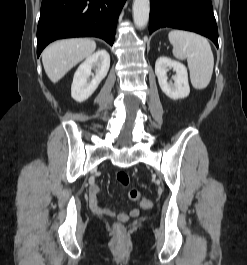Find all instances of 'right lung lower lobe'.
<instances>
[{
    "mask_svg": "<svg viewBox=\"0 0 247 265\" xmlns=\"http://www.w3.org/2000/svg\"><path fill=\"white\" fill-rule=\"evenodd\" d=\"M126 0H42L37 27V56L52 41L99 37L113 45Z\"/></svg>",
    "mask_w": 247,
    "mask_h": 265,
    "instance_id": "1",
    "label": "right lung lower lobe"
}]
</instances>
